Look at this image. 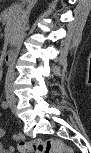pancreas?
<instances>
[{"instance_id": "cf45deb5", "label": "pancreas", "mask_w": 91, "mask_h": 153, "mask_svg": "<svg viewBox=\"0 0 91 153\" xmlns=\"http://www.w3.org/2000/svg\"><path fill=\"white\" fill-rule=\"evenodd\" d=\"M2 23L10 35V42L14 43L21 26V13L17 6H12L2 13Z\"/></svg>"}]
</instances>
